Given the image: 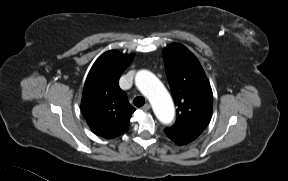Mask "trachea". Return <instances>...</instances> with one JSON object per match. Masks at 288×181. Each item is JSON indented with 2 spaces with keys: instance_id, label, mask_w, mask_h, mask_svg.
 Listing matches in <instances>:
<instances>
[{
  "instance_id": "obj_1",
  "label": "trachea",
  "mask_w": 288,
  "mask_h": 181,
  "mask_svg": "<svg viewBox=\"0 0 288 181\" xmlns=\"http://www.w3.org/2000/svg\"><path fill=\"white\" fill-rule=\"evenodd\" d=\"M133 102H134L135 106L142 107L145 103V99L142 96H137L134 98Z\"/></svg>"
}]
</instances>
